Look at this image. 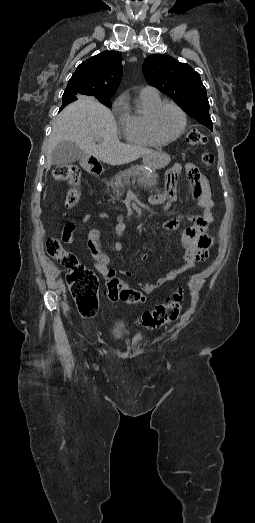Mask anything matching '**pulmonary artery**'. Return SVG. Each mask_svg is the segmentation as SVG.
Listing matches in <instances>:
<instances>
[{
	"instance_id": "e3ab8cb5",
	"label": "pulmonary artery",
	"mask_w": 255,
	"mask_h": 523,
	"mask_svg": "<svg viewBox=\"0 0 255 523\" xmlns=\"http://www.w3.org/2000/svg\"><path fill=\"white\" fill-rule=\"evenodd\" d=\"M143 91H151V92H154V93H158V90L153 87V86H145L143 89Z\"/></svg>"
}]
</instances>
